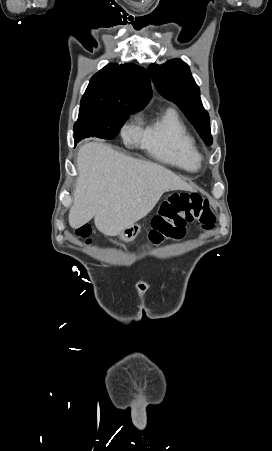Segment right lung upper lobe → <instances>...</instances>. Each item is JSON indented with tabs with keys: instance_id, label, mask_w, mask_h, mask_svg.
<instances>
[{
	"instance_id": "obj_1",
	"label": "right lung upper lobe",
	"mask_w": 272,
	"mask_h": 451,
	"mask_svg": "<svg viewBox=\"0 0 272 451\" xmlns=\"http://www.w3.org/2000/svg\"><path fill=\"white\" fill-rule=\"evenodd\" d=\"M151 96L145 69L135 64H109L91 78L80 106L143 108Z\"/></svg>"
}]
</instances>
